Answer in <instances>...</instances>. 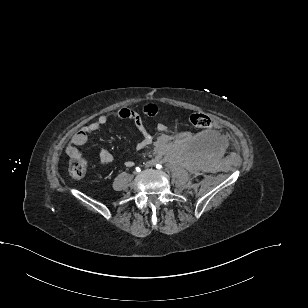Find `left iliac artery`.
Listing matches in <instances>:
<instances>
[{
    "label": "left iliac artery",
    "mask_w": 308,
    "mask_h": 308,
    "mask_svg": "<svg viewBox=\"0 0 308 308\" xmlns=\"http://www.w3.org/2000/svg\"><path fill=\"white\" fill-rule=\"evenodd\" d=\"M162 166H161V164H156V168H158V169H160Z\"/></svg>",
    "instance_id": "44dca946"
}]
</instances>
